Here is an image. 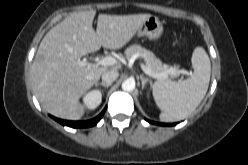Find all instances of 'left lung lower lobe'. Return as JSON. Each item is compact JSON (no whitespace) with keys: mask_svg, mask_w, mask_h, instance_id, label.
I'll return each instance as SVG.
<instances>
[{"mask_svg":"<svg viewBox=\"0 0 248 165\" xmlns=\"http://www.w3.org/2000/svg\"><path fill=\"white\" fill-rule=\"evenodd\" d=\"M149 123L151 124H157V125H162V126H171L173 124H163V123H156V122H153V121H148Z\"/></svg>","mask_w":248,"mask_h":165,"instance_id":"left-lung-lower-lobe-1","label":"left lung lower lobe"}]
</instances>
